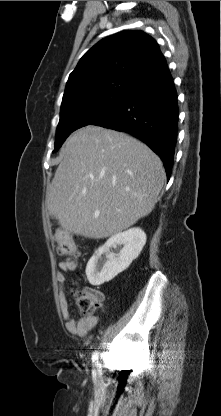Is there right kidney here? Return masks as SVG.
Returning <instances> with one entry per match:
<instances>
[{
    "instance_id": "1",
    "label": "right kidney",
    "mask_w": 221,
    "mask_h": 416,
    "mask_svg": "<svg viewBox=\"0 0 221 416\" xmlns=\"http://www.w3.org/2000/svg\"><path fill=\"white\" fill-rule=\"evenodd\" d=\"M146 243V234L140 228H131L111 236L99 247L86 266V276L91 285L98 286L112 280L138 257ZM123 245L118 254L110 248ZM106 253V259L102 255Z\"/></svg>"
}]
</instances>
